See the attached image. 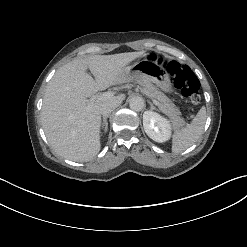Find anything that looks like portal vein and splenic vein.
<instances>
[{"label": "portal vein and splenic vein", "mask_w": 247, "mask_h": 247, "mask_svg": "<svg viewBox=\"0 0 247 247\" xmlns=\"http://www.w3.org/2000/svg\"><path fill=\"white\" fill-rule=\"evenodd\" d=\"M113 95H114V92H111V91L104 92V93L98 95L97 97H94V98L90 99V103H93V102L96 101V100L109 99V98H111ZM152 101H153V103H154L156 106L159 107V103H158L157 100H155V99L152 98Z\"/></svg>", "instance_id": "18ae733b"}]
</instances>
